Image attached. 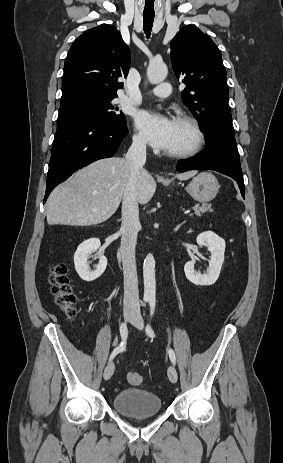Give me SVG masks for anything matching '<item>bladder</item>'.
<instances>
[{
    "instance_id": "obj_1",
    "label": "bladder",
    "mask_w": 283,
    "mask_h": 463,
    "mask_svg": "<svg viewBox=\"0 0 283 463\" xmlns=\"http://www.w3.org/2000/svg\"><path fill=\"white\" fill-rule=\"evenodd\" d=\"M114 409L127 418H146L162 411L160 397L140 388H128L117 392L112 398Z\"/></svg>"
}]
</instances>
